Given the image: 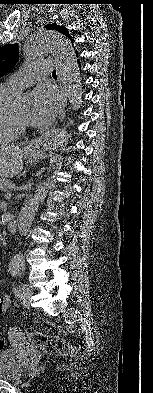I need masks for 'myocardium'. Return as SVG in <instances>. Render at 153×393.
Instances as JSON below:
<instances>
[{"label":"myocardium","instance_id":"1","mask_svg":"<svg viewBox=\"0 0 153 393\" xmlns=\"http://www.w3.org/2000/svg\"><path fill=\"white\" fill-rule=\"evenodd\" d=\"M12 118H13L14 125L16 126V128L19 131L23 132V131H26L29 128L28 123L23 122L22 120H20L18 118V116L14 112H12Z\"/></svg>","mask_w":153,"mask_h":393}]
</instances>
